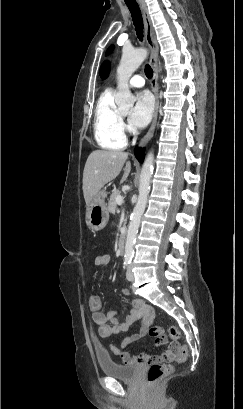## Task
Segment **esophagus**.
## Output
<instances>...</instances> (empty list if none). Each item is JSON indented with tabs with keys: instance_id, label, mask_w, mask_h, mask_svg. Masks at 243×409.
<instances>
[{
	"instance_id": "esophagus-1",
	"label": "esophagus",
	"mask_w": 243,
	"mask_h": 409,
	"mask_svg": "<svg viewBox=\"0 0 243 409\" xmlns=\"http://www.w3.org/2000/svg\"><path fill=\"white\" fill-rule=\"evenodd\" d=\"M142 14H143V20L145 24V39L146 43L150 49V65L153 70V77L151 79V88L155 96V109H154V114H153V119L151 126L146 133V135L141 139L139 142V147L145 146L150 139L153 137L155 126H156V121H157V115H158V105H159V97H158V43L155 38L153 26H152V21L148 13V9L143 1H139Z\"/></svg>"
}]
</instances>
